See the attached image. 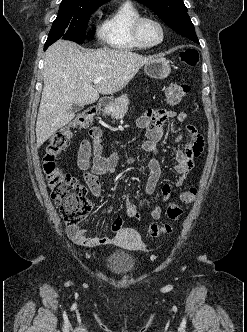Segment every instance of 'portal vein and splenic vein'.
I'll return each instance as SVG.
<instances>
[{"label":"portal vein and splenic vein","instance_id":"portal-vein-and-splenic-vein-1","mask_svg":"<svg viewBox=\"0 0 247 332\" xmlns=\"http://www.w3.org/2000/svg\"><path fill=\"white\" fill-rule=\"evenodd\" d=\"M101 79H102V78H95V79L93 80V83H94V84H98V83L101 81Z\"/></svg>","mask_w":247,"mask_h":332}]
</instances>
